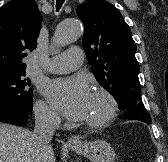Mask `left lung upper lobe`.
I'll use <instances>...</instances> for the list:
<instances>
[{"mask_svg":"<svg viewBox=\"0 0 168 162\" xmlns=\"http://www.w3.org/2000/svg\"><path fill=\"white\" fill-rule=\"evenodd\" d=\"M77 15L84 24L83 48L99 84L119 105L142 103L136 45L121 13L105 0H87Z\"/></svg>","mask_w":168,"mask_h":162,"instance_id":"1","label":"left lung upper lobe"}]
</instances>
